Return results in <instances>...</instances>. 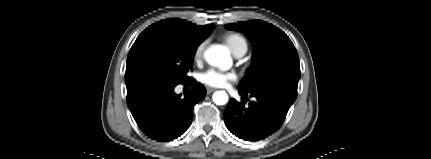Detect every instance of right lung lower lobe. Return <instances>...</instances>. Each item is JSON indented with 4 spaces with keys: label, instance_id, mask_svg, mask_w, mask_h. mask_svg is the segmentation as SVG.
Here are the masks:
<instances>
[{
    "label": "right lung lower lobe",
    "instance_id": "1",
    "mask_svg": "<svg viewBox=\"0 0 431 159\" xmlns=\"http://www.w3.org/2000/svg\"><path fill=\"white\" fill-rule=\"evenodd\" d=\"M179 83L152 80L127 89V105L142 132L159 142L181 136L193 119V107L206 95L194 79L183 82L193 88L184 97L175 94Z\"/></svg>",
    "mask_w": 431,
    "mask_h": 159
}]
</instances>
